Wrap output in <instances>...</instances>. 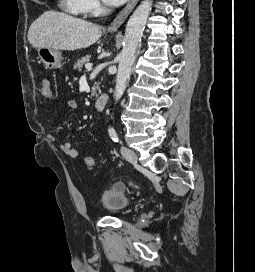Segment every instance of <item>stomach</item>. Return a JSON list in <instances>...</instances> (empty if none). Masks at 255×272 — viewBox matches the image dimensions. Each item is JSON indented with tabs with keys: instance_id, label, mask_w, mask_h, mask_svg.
I'll use <instances>...</instances> for the list:
<instances>
[{
	"instance_id": "obj_1",
	"label": "stomach",
	"mask_w": 255,
	"mask_h": 272,
	"mask_svg": "<svg viewBox=\"0 0 255 272\" xmlns=\"http://www.w3.org/2000/svg\"><path fill=\"white\" fill-rule=\"evenodd\" d=\"M38 57L47 69H57L62 66V54L58 49L39 48Z\"/></svg>"
}]
</instances>
